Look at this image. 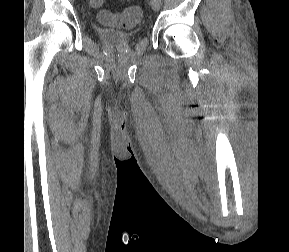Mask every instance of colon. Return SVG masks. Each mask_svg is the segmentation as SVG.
<instances>
[{"instance_id": "1", "label": "colon", "mask_w": 289, "mask_h": 252, "mask_svg": "<svg viewBox=\"0 0 289 252\" xmlns=\"http://www.w3.org/2000/svg\"><path fill=\"white\" fill-rule=\"evenodd\" d=\"M104 0H93V7L100 8ZM142 17L141 9L135 6L127 7L122 13H111L107 10H101L99 20L103 24L118 27H133Z\"/></svg>"}]
</instances>
